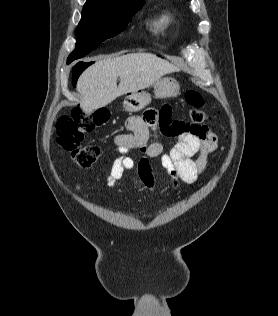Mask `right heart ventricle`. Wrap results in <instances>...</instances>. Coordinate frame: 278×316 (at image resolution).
Here are the masks:
<instances>
[{"label":"right heart ventricle","instance_id":"right-heart-ventricle-1","mask_svg":"<svg viewBox=\"0 0 278 316\" xmlns=\"http://www.w3.org/2000/svg\"><path fill=\"white\" fill-rule=\"evenodd\" d=\"M175 23L174 16L167 10L158 13L152 20L151 26L156 32H164Z\"/></svg>","mask_w":278,"mask_h":316}]
</instances>
